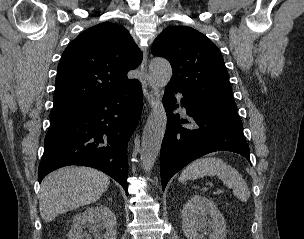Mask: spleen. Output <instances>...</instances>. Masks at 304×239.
<instances>
[{"mask_svg": "<svg viewBox=\"0 0 304 239\" xmlns=\"http://www.w3.org/2000/svg\"><path fill=\"white\" fill-rule=\"evenodd\" d=\"M204 176H217L228 188L233 189L238 199L247 202L250 191L246 182L235 168L220 158L206 157L193 161L183 170L180 180H195Z\"/></svg>", "mask_w": 304, "mask_h": 239, "instance_id": "1", "label": "spleen"}]
</instances>
